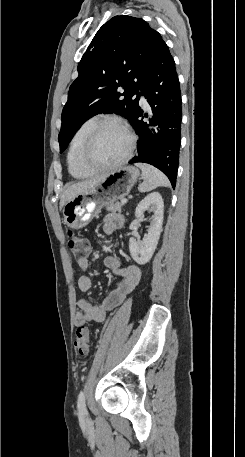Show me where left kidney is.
<instances>
[{
	"label": "left kidney",
	"mask_w": 245,
	"mask_h": 457,
	"mask_svg": "<svg viewBox=\"0 0 245 457\" xmlns=\"http://www.w3.org/2000/svg\"><path fill=\"white\" fill-rule=\"evenodd\" d=\"M145 210L148 212H154L150 218V226L148 229V235H145L142 241L130 237L129 239V251L132 259L138 263V265H146L152 259L155 249L158 245L160 233L162 231L163 224V212L164 202L160 192H150L143 200H140L136 206L135 216L142 218ZM146 220V218H143Z\"/></svg>",
	"instance_id": "obj_1"
}]
</instances>
